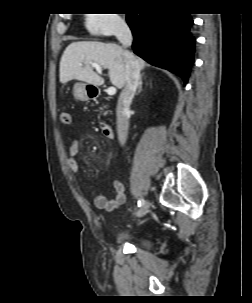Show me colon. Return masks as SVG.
<instances>
[{
  "mask_svg": "<svg viewBox=\"0 0 252 303\" xmlns=\"http://www.w3.org/2000/svg\"><path fill=\"white\" fill-rule=\"evenodd\" d=\"M60 120L64 125H70L72 123L71 113L68 111H62L60 114Z\"/></svg>",
  "mask_w": 252,
  "mask_h": 303,
  "instance_id": "colon-1",
  "label": "colon"
}]
</instances>
